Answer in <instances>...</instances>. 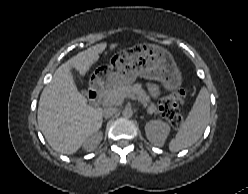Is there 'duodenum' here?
<instances>
[{"label": "duodenum", "instance_id": "410a0bca", "mask_svg": "<svg viewBox=\"0 0 248 194\" xmlns=\"http://www.w3.org/2000/svg\"><path fill=\"white\" fill-rule=\"evenodd\" d=\"M102 92L99 86L94 85L88 91V99L92 105H97L101 100Z\"/></svg>", "mask_w": 248, "mask_h": 194}]
</instances>
